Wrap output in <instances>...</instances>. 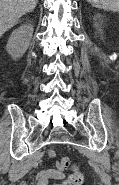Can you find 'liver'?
<instances>
[{
    "mask_svg": "<svg viewBox=\"0 0 119 185\" xmlns=\"http://www.w3.org/2000/svg\"><path fill=\"white\" fill-rule=\"evenodd\" d=\"M38 0H0V37L26 13L35 9Z\"/></svg>",
    "mask_w": 119,
    "mask_h": 185,
    "instance_id": "liver-1",
    "label": "liver"
}]
</instances>
